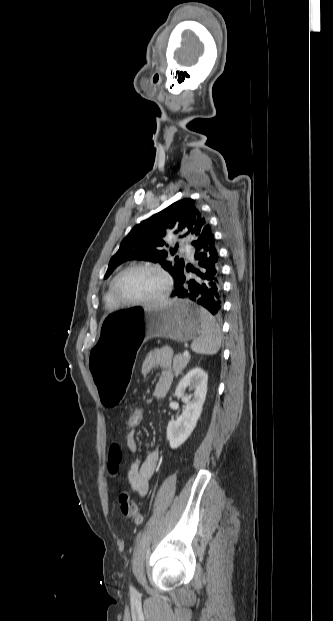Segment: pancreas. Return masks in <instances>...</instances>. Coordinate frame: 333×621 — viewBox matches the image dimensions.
<instances>
[{
	"instance_id": "1",
	"label": "pancreas",
	"mask_w": 333,
	"mask_h": 621,
	"mask_svg": "<svg viewBox=\"0 0 333 621\" xmlns=\"http://www.w3.org/2000/svg\"><path fill=\"white\" fill-rule=\"evenodd\" d=\"M189 360L190 357H185L182 354H177L174 356L172 368L175 376L181 374L182 370L187 366Z\"/></svg>"
}]
</instances>
